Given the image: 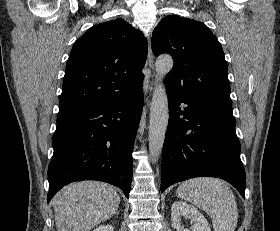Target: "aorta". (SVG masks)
<instances>
[{"instance_id":"762f6f07","label":"aorta","mask_w":280,"mask_h":231,"mask_svg":"<svg viewBox=\"0 0 280 231\" xmlns=\"http://www.w3.org/2000/svg\"><path fill=\"white\" fill-rule=\"evenodd\" d=\"M172 68L173 60L171 56H168V54L158 56L155 64L157 84H155L150 108L149 153L151 161H156L159 157L165 139L169 110L168 98L162 82Z\"/></svg>"}]
</instances>
